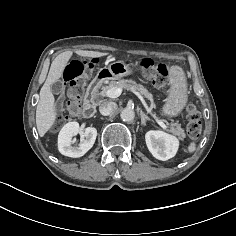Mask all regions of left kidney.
Returning <instances> with one entry per match:
<instances>
[{"label":"left kidney","instance_id":"obj_1","mask_svg":"<svg viewBox=\"0 0 236 236\" xmlns=\"http://www.w3.org/2000/svg\"><path fill=\"white\" fill-rule=\"evenodd\" d=\"M145 140L151 154L162 161L174 157L179 147L178 139L163 131H148Z\"/></svg>","mask_w":236,"mask_h":236}]
</instances>
